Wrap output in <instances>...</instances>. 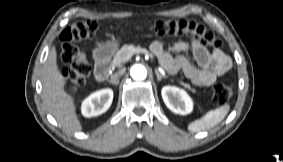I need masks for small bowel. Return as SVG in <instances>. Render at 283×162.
Masks as SVG:
<instances>
[{
	"label": "small bowel",
	"mask_w": 283,
	"mask_h": 162,
	"mask_svg": "<svg viewBox=\"0 0 283 162\" xmlns=\"http://www.w3.org/2000/svg\"><path fill=\"white\" fill-rule=\"evenodd\" d=\"M151 50L168 72L182 71L193 84L199 87L212 85L232 66L231 59L222 50L215 49L209 52L200 42L192 38L188 43H176L171 50L165 48L164 41L156 40L151 44ZM188 51H191L197 65L185 56Z\"/></svg>",
	"instance_id": "small-bowel-1"
}]
</instances>
